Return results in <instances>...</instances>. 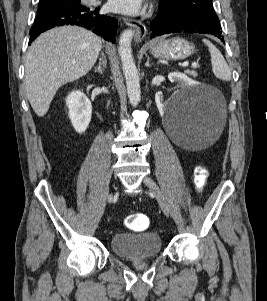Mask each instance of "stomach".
<instances>
[{
	"instance_id": "stomach-1",
	"label": "stomach",
	"mask_w": 267,
	"mask_h": 301,
	"mask_svg": "<svg viewBox=\"0 0 267 301\" xmlns=\"http://www.w3.org/2000/svg\"><path fill=\"white\" fill-rule=\"evenodd\" d=\"M154 57L165 60H183L194 53V45L181 38L162 40L150 45Z\"/></svg>"
}]
</instances>
